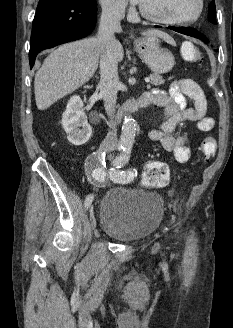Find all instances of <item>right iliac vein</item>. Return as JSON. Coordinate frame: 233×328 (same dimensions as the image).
Returning <instances> with one entry per match:
<instances>
[{"instance_id": "obj_1", "label": "right iliac vein", "mask_w": 233, "mask_h": 328, "mask_svg": "<svg viewBox=\"0 0 233 328\" xmlns=\"http://www.w3.org/2000/svg\"><path fill=\"white\" fill-rule=\"evenodd\" d=\"M89 212H90L91 227H92V229H95V227H96V218H95L93 207H90Z\"/></svg>"}]
</instances>
